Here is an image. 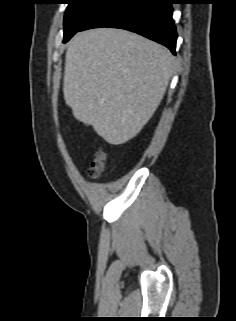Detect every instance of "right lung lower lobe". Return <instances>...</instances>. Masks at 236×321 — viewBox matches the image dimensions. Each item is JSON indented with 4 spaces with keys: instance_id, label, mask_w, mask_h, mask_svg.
I'll use <instances>...</instances> for the list:
<instances>
[{
    "instance_id": "1",
    "label": "right lung lower lobe",
    "mask_w": 236,
    "mask_h": 321,
    "mask_svg": "<svg viewBox=\"0 0 236 321\" xmlns=\"http://www.w3.org/2000/svg\"><path fill=\"white\" fill-rule=\"evenodd\" d=\"M171 4L170 0H108L78 31L97 27L126 29L168 47L175 54L177 33Z\"/></svg>"
}]
</instances>
